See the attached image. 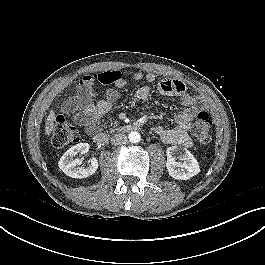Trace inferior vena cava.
I'll return each mask as SVG.
<instances>
[{
	"label": "inferior vena cava",
	"instance_id": "obj_1",
	"mask_svg": "<svg viewBox=\"0 0 265 265\" xmlns=\"http://www.w3.org/2000/svg\"><path fill=\"white\" fill-rule=\"evenodd\" d=\"M111 143L113 145H122V144H126L127 143V136L123 133H118L115 134L112 138H111Z\"/></svg>",
	"mask_w": 265,
	"mask_h": 265
}]
</instances>
